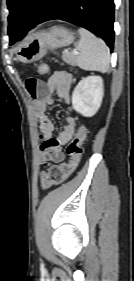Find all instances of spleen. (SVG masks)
I'll return each instance as SVG.
<instances>
[{
    "label": "spleen",
    "instance_id": "spleen-1",
    "mask_svg": "<svg viewBox=\"0 0 134 281\" xmlns=\"http://www.w3.org/2000/svg\"><path fill=\"white\" fill-rule=\"evenodd\" d=\"M81 39L78 43L77 65L87 71L105 73L110 62V51L105 42L84 28L78 30Z\"/></svg>",
    "mask_w": 134,
    "mask_h": 281
}]
</instances>
